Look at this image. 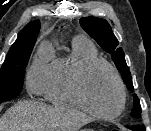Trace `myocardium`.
Masks as SVG:
<instances>
[{"instance_id": "f54148a6", "label": "myocardium", "mask_w": 151, "mask_h": 131, "mask_svg": "<svg viewBox=\"0 0 151 131\" xmlns=\"http://www.w3.org/2000/svg\"><path fill=\"white\" fill-rule=\"evenodd\" d=\"M98 67L107 68L114 76L116 83L118 85V89L120 93V103L117 110L111 114H104L95 110L92 107V105L89 103L85 93L86 80L90 75V73ZM69 89L72 98L74 99V101L77 103L78 106H80L82 109H84L92 116L102 120H112L119 117L123 113L126 107L127 92L122 77L109 62L101 58H95L85 63L72 78Z\"/></svg>"}]
</instances>
